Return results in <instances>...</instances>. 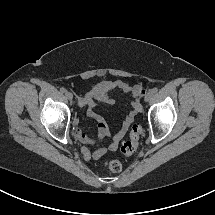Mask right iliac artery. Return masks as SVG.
<instances>
[{
    "label": "right iliac artery",
    "instance_id": "right-iliac-artery-1",
    "mask_svg": "<svg viewBox=\"0 0 215 215\" xmlns=\"http://www.w3.org/2000/svg\"><path fill=\"white\" fill-rule=\"evenodd\" d=\"M60 91L62 92V93H65L66 92V89L65 88H60Z\"/></svg>",
    "mask_w": 215,
    "mask_h": 215
}]
</instances>
